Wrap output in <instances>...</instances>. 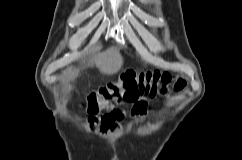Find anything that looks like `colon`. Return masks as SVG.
<instances>
[{
  "label": "colon",
  "mask_w": 242,
  "mask_h": 160,
  "mask_svg": "<svg viewBox=\"0 0 242 160\" xmlns=\"http://www.w3.org/2000/svg\"><path fill=\"white\" fill-rule=\"evenodd\" d=\"M183 78H174L167 71L149 70L145 72H124L114 82L91 91L85 100V108L90 113L89 124L94 127L102 121L115 120L119 116L117 107L122 103L132 104L131 113L134 116L142 115L146 107L135 106L141 97H153L164 94L170 89L175 91L185 87ZM105 112L106 115L98 118V114Z\"/></svg>",
  "instance_id": "obj_1"
}]
</instances>
